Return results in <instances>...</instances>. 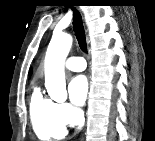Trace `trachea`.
Masks as SVG:
<instances>
[{
	"mask_svg": "<svg viewBox=\"0 0 155 141\" xmlns=\"http://www.w3.org/2000/svg\"><path fill=\"white\" fill-rule=\"evenodd\" d=\"M73 29H74L79 47L81 48L82 51L87 52V43H86L83 21L80 13L77 11H74L73 13Z\"/></svg>",
	"mask_w": 155,
	"mask_h": 141,
	"instance_id": "trachea-1",
	"label": "trachea"
}]
</instances>
